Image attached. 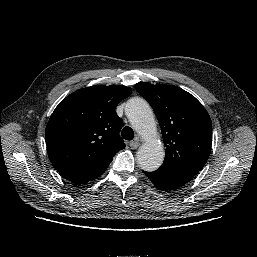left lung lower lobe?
<instances>
[{
  "instance_id": "0a47b994",
  "label": "left lung lower lobe",
  "mask_w": 257,
  "mask_h": 257,
  "mask_svg": "<svg viewBox=\"0 0 257 257\" xmlns=\"http://www.w3.org/2000/svg\"><path fill=\"white\" fill-rule=\"evenodd\" d=\"M152 183L160 190L168 191L180 188L188 183L193 176L185 172L166 167H160L154 172L143 171Z\"/></svg>"
}]
</instances>
